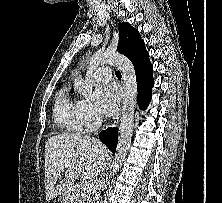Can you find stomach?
Wrapping results in <instances>:
<instances>
[{
  "label": "stomach",
  "instance_id": "0dacf381",
  "mask_svg": "<svg viewBox=\"0 0 222 203\" xmlns=\"http://www.w3.org/2000/svg\"><path fill=\"white\" fill-rule=\"evenodd\" d=\"M63 200H64V203H70V198H69V197H67V196H66V197H64V199H63Z\"/></svg>",
  "mask_w": 222,
  "mask_h": 203
}]
</instances>
